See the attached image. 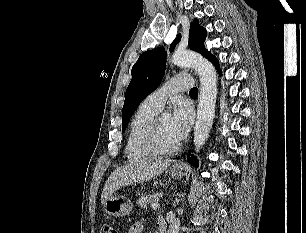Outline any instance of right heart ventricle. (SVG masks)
<instances>
[{
	"label": "right heart ventricle",
	"instance_id": "right-heart-ventricle-1",
	"mask_svg": "<svg viewBox=\"0 0 306 233\" xmlns=\"http://www.w3.org/2000/svg\"><path fill=\"white\" fill-rule=\"evenodd\" d=\"M159 110L147 105L145 101L134 113L128 128L125 154L129 162H141L155 155L145 146L144 134L150 121Z\"/></svg>",
	"mask_w": 306,
	"mask_h": 233
}]
</instances>
